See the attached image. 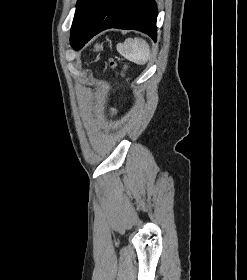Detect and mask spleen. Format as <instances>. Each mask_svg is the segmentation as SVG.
<instances>
[{
  "label": "spleen",
  "instance_id": "spleen-1",
  "mask_svg": "<svg viewBox=\"0 0 247 280\" xmlns=\"http://www.w3.org/2000/svg\"><path fill=\"white\" fill-rule=\"evenodd\" d=\"M117 51L127 60L139 65H145L150 59V47L141 38L126 39L123 44L117 45Z\"/></svg>",
  "mask_w": 247,
  "mask_h": 280
}]
</instances>
